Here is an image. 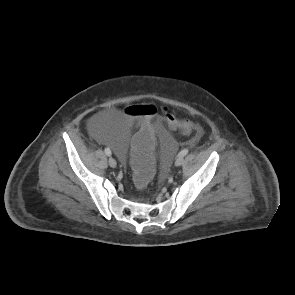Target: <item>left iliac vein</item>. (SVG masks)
Here are the masks:
<instances>
[{
  "mask_svg": "<svg viewBox=\"0 0 295 295\" xmlns=\"http://www.w3.org/2000/svg\"><path fill=\"white\" fill-rule=\"evenodd\" d=\"M184 162V158L183 157H177L176 161H175V165L176 166H180L182 165Z\"/></svg>",
  "mask_w": 295,
  "mask_h": 295,
  "instance_id": "obj_1",
  "label": "left iliac vein"
}]
</instances>
